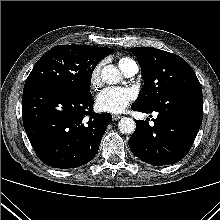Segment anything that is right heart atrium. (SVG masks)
<instances>
[{"label": "right heart atrium", "instance_id": "1", "mask_svg": "<svg viewBox=\"0 0 220 220\" xmlns=\"http://www.w3.org/2000/svg\"><path fill=\"white\" fill-rule=\"evenodd\" d=\"M101 66H102V63L97 64L92 69L91 74H90V85L94 89L98 88L101 84V77H100Z\"/></svg>", "mask_w": 220, "mask_h": 220}]
</instances>
